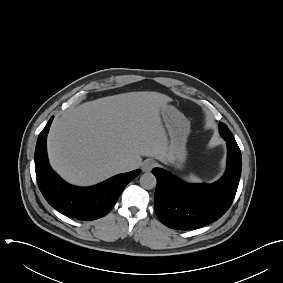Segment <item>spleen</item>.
Instances as JSON below:
<instances>
[{
  "mask_svg": "<svg viewBox=\"0 0 283 283\" xmlns=\"http://www.w3.org/2000/svg\"><path fill=\"white\" fill-rule=\"evenodd\" d=\"M192 181H193V182H200L199 179H193Z\"/></svg>",
  "mask_w": 283,
  "mask_h": 283,
  "instance_id": "spleen-1",
  "label": "spleen"
}]
</instances>
